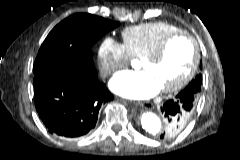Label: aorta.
Listing matches in <instances>:
<instances>
[{"label":"aorta","mask_w":240,"mask_h":160,"mask_svg":"<svg viewBox=\"0 0 240 160\" xmlns=\"http://www.w3.org/2000/svg\"><path fill=\"white\" fill-rule=\"evenodd\" d=\"M140 123L144 131L151 136H157L162 130L160 118L151 111H144L141 113Z\"/></svg>","instance_id":"1"}]
</instances>
